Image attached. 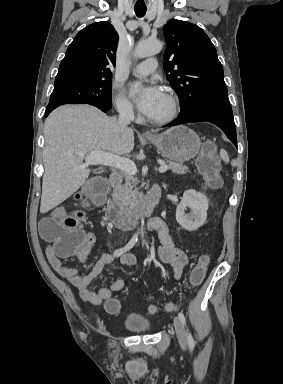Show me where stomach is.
<instances>
[{"mask_svg": "<svg viewBox=\"0 0 283 384\" xmlns=\"http://www.w3.org/2000/svg\"><path fill=\"white\" fill-rule=\"evenodd\" d=\"M146 140L154 144L164 158H168L170 162H176V164H183V162L195 158L201 144L199 136L186 126H174L160 136H153Z\"/></svg>", "mask_w": 283, "mask_h": 384, "instance_id": "0dacf381", "label": "stomach"}]
</instances>
